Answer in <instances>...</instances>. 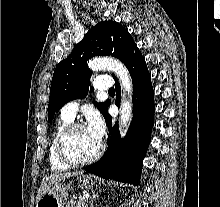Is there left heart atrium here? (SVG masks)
I'll list each match as a JSON object with an SVG mask.
<instances>
[{"mask_svg":"<svg viewBox=\"0 0 220 207\" xmlns=\"http://www.w3.org/2000/svg\"><path fill=\"white\" fill-rule=\"evenodd\" d=\"M86 130L99 142L105 133V125L98 113H93L89 116Z\"/></svg>","mask_w":220,"mask_h":207,"instance_id":"obj_1","label":"left heart atrium"}]
</instances>
